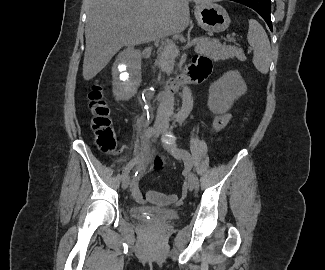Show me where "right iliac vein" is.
<instances>
[{
    "label": "right iliac vein",
    "mask_w": 325,
    "mask_h": 270,
    "mask_svg": "<svg viewBox=\"0 0 325 270\" xmlns=\"http://www.w3.org/2000/svg\"><path fill=\"white\" fill-rule=\"evenodd\" d=\"M163 129V125L160 122L155 123L153 131H152V136H157ZM130 184V178L127 176L123 181H122V188L126 189Z\"/></svg>",
    "instance_id": "63e3f726"
}]
</instances>
